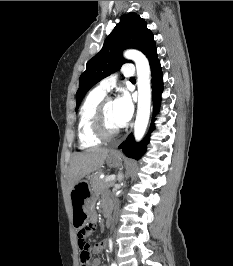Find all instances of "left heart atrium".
<instances>
[{
    "mask_svg": "<svg viewBox=\"0 0 233 266\" xmlns=\"http://www.w3.org/2000/svg\"><path fill=\"white\" fill-rule=\"evenodd\" d=\"M115 119L118 127H124L130 121L133 114V104L127 93L119 95L115 101Z\"/></svg>",
    "mask_w": 233,
    "mask_h": 266,
    "instance_id": "39dd6f15",
    "label": "left heart atrium"
}]
</instances>
